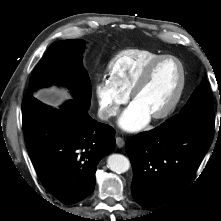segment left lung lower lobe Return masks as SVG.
Segmentation results:
<instances>
[{
	"mask_svg": "<svg viewBox=\"0 0 221 221\" xmlns=\"http://www.w3.org/2000/svg\"><path fill=\"white\" fill-rule=\"evenodd\" d=\"M211 132L173 129L163 123L131 137L125 148L133 168L131 190L135 201L154 207L179 197L209 149Z\"/></svg>",
	"mask_w": 221,
	"mask_h": 221,
	"instance_id": "obj_1",
	"label": "left lung lower lobe"
}]
</instances>
